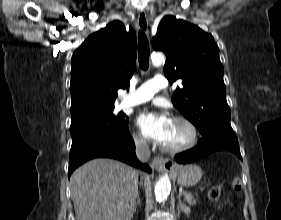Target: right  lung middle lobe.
Masks as SVG:
<instances>
[{
  "label": "right lung middle lobe",
  "instance_id": "obj_1",
  "mask_svg": "<svg viewBox=\"0 0 281 220\" xmlns=\"http://www.w3.org/2000/svg\"><path fill=\"white\" fill-rule=\"evenodd\" d=\"M114 109L91 113L71 119L72 139L87 134L106 133L117 135L128 132V118L124 113L115 115Z\"/></svg>",
  "mask_w": 281,
  "mask_h": 220
}]
</instances>
